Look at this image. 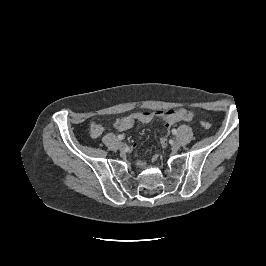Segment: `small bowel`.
<instances>
[{"label": "small bowel", "instance_id": "c3829d8e", "mask_svg": "<svg viewBox=\"0 0 266 266\" xmlns=\"http://www.w3.org/2000/svg\"><path fill=\"white\" fill-rule=\"evenodd\" d=\"M194 114L184 108L159 110V111H141L135 112L127 116L118 118L114 126L119 131H126L131 129L135 123H150L155 119H162L165 121V129L168 132L169 129L177 122H189L193 119ZM103 126L97 122H93L90 126V135L92 138H98L103 134ZM166 135L160 138V143L163 146L167 145Z\"/></svg>", "mask_w": 266, "mask_h": 266}]
</instances>
